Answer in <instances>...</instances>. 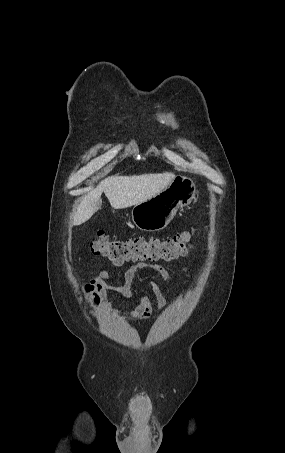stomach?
Listing matches in <instances>:
<instances>
[{"mask_svg":"<svg viewBox=\"0 0 285 453\" xmlns=\"http://www.w3.org/2000/svg\"><path fill=\"white\" fill-rule=\"evenodd\" d=\"M194 192L192 180L175 176L164 190L133 207L132 221L140 230L160 231L170 223L179 208L191 203Z\"/></svg>","mask_w":285,"mask_h":453,"instance_id":"1","label":"stomach"}]
</instances>
